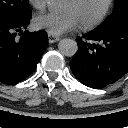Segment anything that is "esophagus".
Segmentation results:
<instances>
[{
	"mask_svg": "<svg viewBox=\"0 0 128 128\" xmlns=\"http://www.w3.org/2000/svg\"><path fill=\"white\" fill-rule=\"evenodd\" d=\"M59 40H60L59 37L51 35V34H48V41H49V43H55V42H57Z\"/></svg>",
	"mask_w": 128,
	"mask_h": 128,
	"instance_id": "1",
	"label": "esophagus"
}]
</instances>
